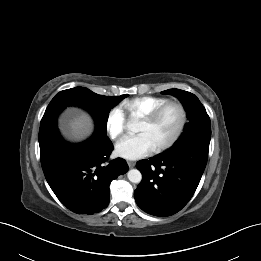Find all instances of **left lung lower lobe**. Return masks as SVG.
Instances as JSON below:
<instances>
[{
    "label": "left lung lower lobe",
    "instance_id": "obj_1",
    "mask_svg": "<svg viewBox=\"0 0 261 261\" xmlns=\"http://www.w3.org/2000/svg\"><path fill=\"white\" fill-rule=\"evenodd\" d=\"M209 143L201 140L172 146L155 157L140 160L136 167L142 181L134 192L137 205L146 213L166 217L180 211L191 199L204 172Z\"/></svg>",
    "mask_w": 261,
    "mask_h": 261
}]
</instances>
